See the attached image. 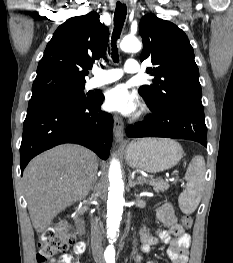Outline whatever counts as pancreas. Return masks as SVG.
Wrapping results in <instances>:
<instances>
[{
  "instance_id": "obj_1",
  "label": "pancreas",
  "mask_w": 233,
  "mask_h": 263,
  "mask_svg": "<svg viewBox=\"0 0 233 263\" xmlns=\"http://www.w3.org/2000/svg\"><path fill=\"white\" fill-rule=\"evenodd\" d=\"M144 182L153 186L156 192L158 191L164 192L169 188V184L167 182L163 181L162 179H155L152 176H150L149 179L144 180Z\"/></svg>"
}]
</instances>
